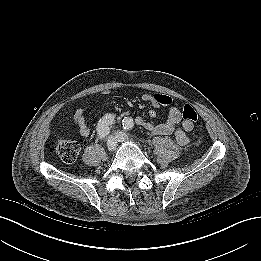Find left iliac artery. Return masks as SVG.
<instances>
[{"mask_svg": "<svg viewBox=\"0 0 261 261\" xmlns=\"http://www.w3.org/2000/svg\"><path fill=\"white\" fill-rule=\"evenodd\" d=\"M122 125H123L124 130L129 131L133 128L134 123L131 118H125L122 120Z\"/></svg>", "mask_w": 261, "mask_h": 261, "instance_id": "left-iliac-artery-1", "label": "left iliac artery"}]
</instances>
